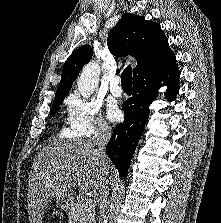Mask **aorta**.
Here are the masks:
<instances>
[{
  "mask_svg": "<svg viewBox=\"0 0 221 223\" xmlns=\"http://www.w3.org/2000/svg\"><path fill=\"white\" fill-rule=\"evenodd\" d=\"M100 65L92 61L84 66L77 80V87L84 98H88L93 90L98 87L100 78Z\"/></svg>",
  "mask_w": 221,
  "mask_h": 223,
  "instance_id": "aorta-1",
  "label": "aorta"
}]
</instances>
